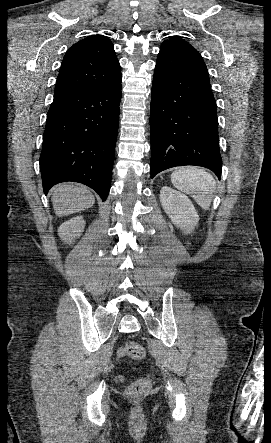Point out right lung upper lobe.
<instances>
[{
    "instance_id": "obj_1",
    "label": "right lung upper lobe",
    "mask_w": 271,
    "mask_h": 443,
    "mask_svg": "<svg viewBox=\"0 0 271 443\" xmlns=\"http://www.w3.org/2000/svg\"><path fill=\"white\" fill-rule=\"evenodd\" d=\"M121 79L113 43L103 35H92L66 52L54 95L109 86Z\"/></svg>"
}]
</instances>
